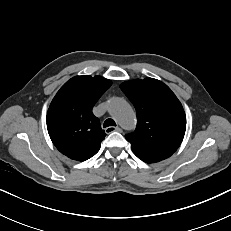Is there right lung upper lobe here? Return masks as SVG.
I'll return each mask as SVG.
<instances>
[{"instance_id": "1", "label": "right lung upper lobe", "mask_w": 231, "mask_h": 231, "mask_svg": "<svg viewBox=\"0 0 231 231\" xmlns=\"http://www.w3.org/2000/svg\"><path fill=\"white\" fill-rule=\"evenodd\" d=\"M111 84L101 76H75L53 98L46 119L48 133L70 159L85 161L99 151L106 134L92 108Z\"/></svg>"}]
</instances>
